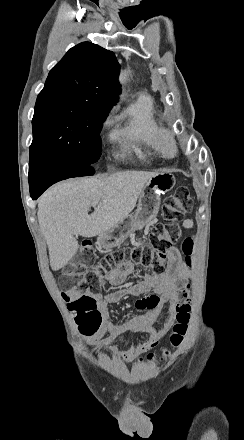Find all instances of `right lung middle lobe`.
Listing matches in <instances>:
<instances>
[{
  "label": "right lung middle lobe",
  "instance_id": "right-lung-middle-lobe-1",
  "mask_svg": "<svg viewBox=\"0 0 244 440\" xmlns=\"http://www.w3.org/2000/svg\"><path fill=\"white\" fill-rule=\"evenodd\" d=\"M108 111L85 102H36L30 159L52 156L93 165L101 155L100 131Z\"/></svg>",
  "mask_w": 244,
  "mask_h": 440
}]
</instances>
